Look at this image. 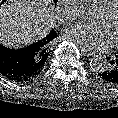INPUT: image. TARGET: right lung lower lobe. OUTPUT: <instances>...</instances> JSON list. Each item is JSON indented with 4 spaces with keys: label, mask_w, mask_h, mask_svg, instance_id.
<instances>
[{
    "label": "right lung lower lobe",
    "mask_w": 118,
    "mask_h": 118,
    "mask_svg": "<svg viewBox=\"0 0 118 118\" xmlns=\"http://www.w3.org/2000/svg\"><path fill=\"white\" fill-rule=\"evenodd\" d=\"M41 71L36 69L35 52L30 46L15 50L0 44V74L10 81L24 82Z\"/></svg>",
    "instance_id": "obj_1"
}]
</instances>
